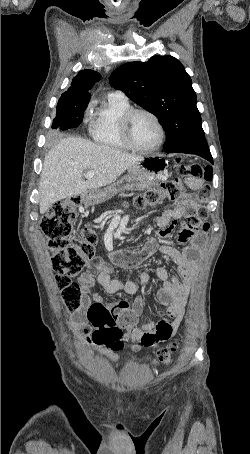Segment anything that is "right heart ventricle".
<instances>
[{
  "label": "right heart ventricle",
  "instance_id": "obj_1",
  "mask_svg": "<svg viewBox=\"0 0 250 454\" xmlns=\"http://www.w3.org/2000/svg\"><path fill=\"white\" fill-rule=\"evenodd\" d=\"M131 106L128 100L108 96L107 101L91 114L89 132L99 145L118 149H129L124 143L119 127L120 117Z\"/></svg>",
  "mask_w": 250,
  "mask_h": 454
}]
</instances>
